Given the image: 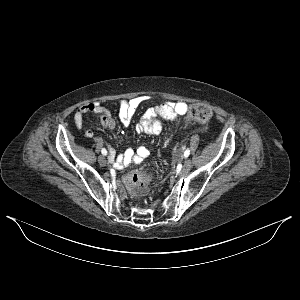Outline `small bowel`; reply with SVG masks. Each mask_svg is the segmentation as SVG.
<instances>
[{"mask_svg": "<svg viewBox=\"0 0 300 300\" xmlns=\"http://www.w3.org/2000/svg\"><path fill=\"white\" fill-rule=\"evenodd\" d=\"M147 100L145 96H136L128 100L118 102V119L120 123L130 126L137 108ZM188 105L185 102H165L163 104L151 107L145 111L140 121L135 126L137 133L149 135H158L162 132L163 125L161 120L174 121L179 116L186 113ZM96 114L99 116L101 124L109 129L116 126V120L111 111L98 102H90L80 106L74 114V123L78 129H83L87 138H94L91 129L84 128V115ZM102 143L101 138H97ZM149 155V150L140 146L136 150L126 149L122 154L116 155L114 149H110L109 162L116 170H121L128 164L139 163Z\"/></svg>", "mask_w": 300, "mask_h": 300, "instance_id": "c3829d8e", "label": "small bowel"}]
</instances>
